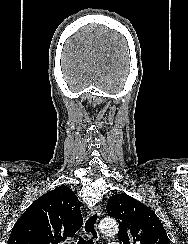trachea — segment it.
Segmentation results:
<instances>
[{
    "label": "trachea",
    "instance_id": "3493384b",
    "mask_svg": "<svg viewBox=\"0 0 188 244\" xmlns=\"http://www.w3.org/2000/svg\"><path fill=\"white\" fill-rule=\"evenodd\" d=\"M78 244H94L91 239L80 238Z\"/></svg>",
    "mask_w": 188,
    "mask_h": 244
}]
</instances>
